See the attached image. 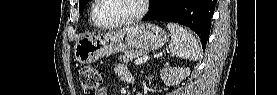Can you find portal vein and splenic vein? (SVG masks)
<instances>
[{
  "label": "portal vein and splenic vein",
  "mask_w": 277,
  "mask_h": 95,
  "mask_svg": "<svg viewBox=\"0 0 277 95\" xmlns=\"http://www.w3.org/2000/svg\"><path fill=\"white\" fill-rule=\"evenodd\" d=\"M149 58H150L149 56H143L141 58H138V59L135 60V64L136 65H141L144 62H146Z\"/></svg>",
  "instance_id": "portal-vein-and-splenic-vein-1"
}]
</instances>
